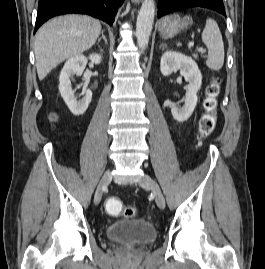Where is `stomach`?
I'll return each mask as SVG.
<instances>
[{"instance_id":"obj_1","label":"stomach","mask_w":265,"mask_h":269,"mask_svg":"<svg viewBox=\"0 0 265 269\" xmlns=\"http://www.w3.org/2000/svg\"><path fill=\"white\" fill-rule=\"evenodd\" d=\"M190 25H192L190 17L168 16L160 21L158 31L162 38L167 39L175 36Z\"/></svg>"}]
</instances>
